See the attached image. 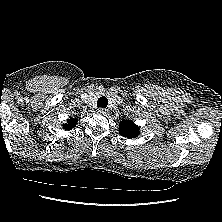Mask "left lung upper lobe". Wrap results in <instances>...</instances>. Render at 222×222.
Masks as SVG:
<instances>
[{"instance_id": "obj_1", "label": "left lung upper lobe", "mask_w": 222, "mask_h": 222, "mask_svg": "<svg viewBox=\"0 0 222 222\" xmlns=\"http://www.w3.org/2000/svg\"><path fill=\"white\" fill-rule=\"evenodd\" d=\"M119 133L127 138H134L139 135V127L131 120H122L119 126Z\"/></svg>"}]
</instances>
